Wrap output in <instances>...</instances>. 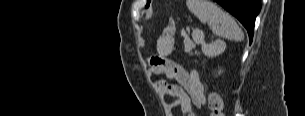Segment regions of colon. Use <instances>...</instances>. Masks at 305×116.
<instances>
[{
    "instance_id": "5ec220e1",
    "label": "colon",
    "mask_w": 305,
    "mask_h": 116,
    "mask_svg": "<svg viewBox=\"0 0 305 116\" xmlns=\"http://www.w3.org/2000/svg\"><path fill=\"white\" fill-rule=\"evenodd\" d=\"M208 100H209V107L211 110V116H224L223 103L220 96L213 91H209Z\"/></svg>"
}]
</instances>
